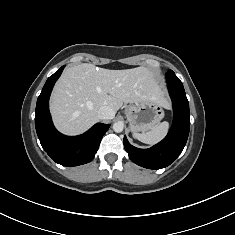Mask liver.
Listing matches in <instances>:
<instances>
[{
    "label": "liver",
    "instance_id": "liver-1",
    "mask_svg": "<svg viewBox=\"0 0 235 235\" xmlns=\"http://www.w3.org/2000/svg\"><path fill=\"white\" fill-rule=\"evenodd\" d=\"M147 99L169 107L162 86L148 68L109 70L83 63L63 72L52 92L50 111L60 132L78 135L99 121L101 106L116 113L123 103Z\"/></svg>",
    "mask_w": 235,
    "mask_h": 235
}]
</instances>
